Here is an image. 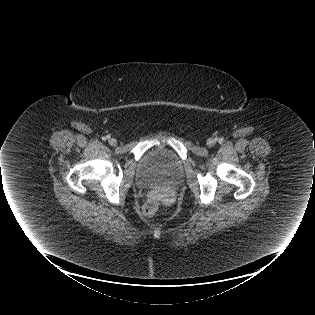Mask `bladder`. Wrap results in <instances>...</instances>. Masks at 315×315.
Here are the masks:
<instances>
[{
    "label": "bladder",
    "instance_id": "bladder-1",
    "mask_svg": "<svg viewBox=\"0 0 315 315\" xmlns=\"http://www.w3.org/2000/svg\"><path fill=\"white\" fill-rule=\"evenodd\" d=\"M183 176V166L179 157L171 150L156 149L142 160L138 170V182L144 187L172 186Z\"/></svg>",
    "mask_w": 315,
    "mask_h": 315
}]
</instances>
